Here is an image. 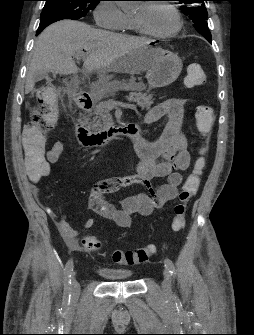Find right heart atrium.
<instances>
[{"label": "right heart atrium", "instance_id": "right-heart-atrium-1", "mask_svg": "<svg viewBox=\"0 0 254 335\" xmlns=\"http://www.w3.org/2000/svg\"><path fill=\"white\" fill-rule=\"evenodd\" d=\"M94 19L98 26L110 30H124L129 22V17L111 0L96 6Z\"/></svg>", "mask_w": 254, "mask_h": 335}]
</instances>
